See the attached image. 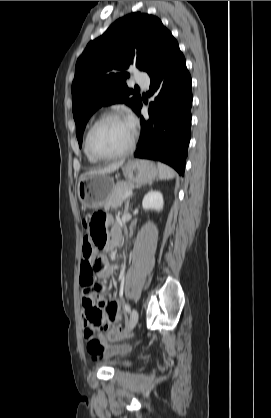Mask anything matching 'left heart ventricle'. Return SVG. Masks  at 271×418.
<instances>
[{
  "instance_id": "obj_1",
  "label": "left heart ventricle",
  "mask_w": 271,
  "mask_h": 418,
  "mask_svg": "<svg viewBox=\"0 0 271 418\" xmlns=\"http://www.w3.org/2000/svg\"><path fill=\"white\" fill-rule=\"evenodd\" d=\"M133 130L126 119H109L99 124L91 135L92 149L102 155L123 150L129 143Z\"/></svg>"
}]
</instances>
